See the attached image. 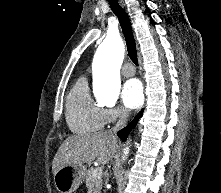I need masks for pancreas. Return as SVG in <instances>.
I'll return each mask as SVG.
<instances>
[{"label":"pancreas","mask_w":221,"mask_h":193,"mask_svg":"<svg viewBox=\"0 0 221 193\" xmlns=\"http://www.w3.org/2000/svg\"><path fill=\"white\" fill-rule=\"evenodd\" d=\"M95 168H90L86 171V187L88 188V193H100L102 189V179L101 175L93 176Z\"/></svg>","instance_id":"cf45deb5"}]
</instances>
